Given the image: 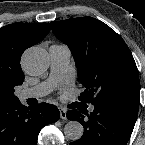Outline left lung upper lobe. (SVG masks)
Here are the masks:
<instances>
[{
    "instance_id": "1",
    "label": "left lung upper lobe",
    "mask_w": 145,
    "mask_h": 145,
    "mask_svg": "<svg viewBox=\"0 0 145 145\" xmlns=\"http://www.w3.org/2000/svg\"><path fill=\"white\" fill-rule=\"evenodd\" d=\"M55 36L67 44L86 90L79 99L97 104L114 100L140 101L136 63L124 40L105 23L80 17L51 22Z\"/></svg>"
}]
</instances>
